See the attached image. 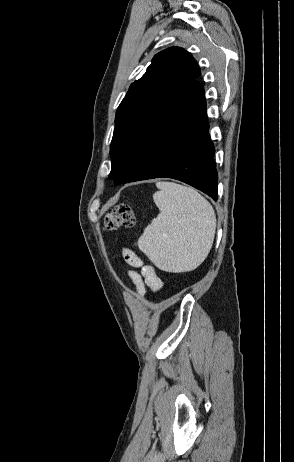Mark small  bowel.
Instances as JSON below:
<instances>
[{
  "instance_id": "c3829d8e",
  "label": "small bowel",
  "mask_w": 294,
  "mask_h": 462,
  "mask_svg": "<svg viewBox=\"0 0 294 462\" xmlns=\"http://www.w3.org/2000/svg\"><path fill=\"white\" fill-rule=\"evenodd\" d=\"M123 257L126 263L132 268H140V272L134 270L129 272V276L135 284L140 296H144L148 290L151 292H158L161 289L162 281L152 266L143 265L141 259L130 249L123 250Z\"/></svg>"
}]
</instances>
